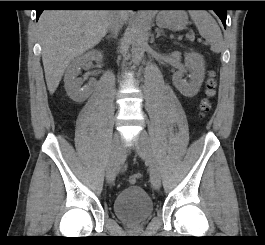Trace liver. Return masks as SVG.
I'll use <instances>...</instances> for the list:
<instances>
[{"mask_svg":"<svg viewBox=\"0 0 265 245\" xmlns=\"http://www.w3.org/2000/svg\"><path fill=\"white\" fill-rule=\"evenodd\" d=\"M128 19V12L108 10H46L38 21L42 61L48 90L53 94L77 56L96 46L112 21Z\"/></svg>","mask_w":265,"mask_h":245,"instance_id":"6515ba94","label":"liver"}]
</instances>
